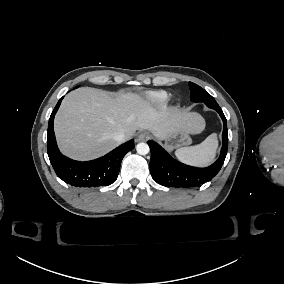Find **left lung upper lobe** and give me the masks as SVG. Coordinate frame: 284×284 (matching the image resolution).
<instances>
[{"mask_svg":"<svg viewBox=\"0 0 284 284\" xmlns=\"http://www.w3.org/2000/svg\"><path fill=\"white\" fill-rule=\"evenodd\" d=\"M190 99L193 102H215V99L200 86L189 82Z\"/></svg>","mask_w":284,"mask_h":284,"instance_id":"1","label":"left lung upper lobe"}]
</instances>
